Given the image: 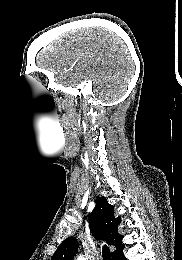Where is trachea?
I'll list each match as a JSON object with an SVG mask.
<instances>
[{
	"label": "trachea",
	"instance_id": "trachea-1",
	"mask_svg": "<svg viewBox=\"0 0 182 260\" xmlns=\"http://www.w3.org/2000/svg\"><path fill=\"white\" fill-rule=\"evenodd\" d=\"M102 257L103 260H112L110 250L106 245H104L102 248Z\"/></svg>",
	"mask_w": 182,
	"mask_h": 260
}]
</instances>
